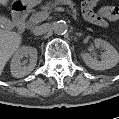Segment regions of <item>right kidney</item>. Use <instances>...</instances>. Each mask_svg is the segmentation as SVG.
Wrapping results in <instances>:
<instances>
[{
  "instance_id": "obj_1",
  "label": "right kidney",
  "mask_w": 119,
  "mask_h": 119,
  "mask_svg": "<svg viewBox=\"0 0 119 119\" xmlns=\"http://www.w3.org/2000/svg\"><path fill=\"white\" fill-rule=\"evenodd\" d=\"M24 57H29V63L24 60ZM37 49L30 46H22L19 48L11 60V73L16 78H22L30 74L36 66Z\"/></svg>"
}]
</instances>
